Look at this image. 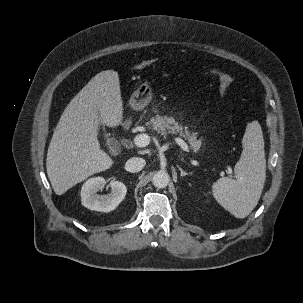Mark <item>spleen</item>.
I'll return each mask as SVG.
<instances>
[{
	"label": "spleen",
	"instance_id": "obj_1",
	"mask_svg": "<svg viewBox=\"0 0 303 303\" xmlns=\"http://www.w3.org/2000/svg\"><path fill=\"white\" fill-rule=\"evenodd\" d=\"M242 146L234 168L237 179L223 177L212 185L214 198L236 218L247 217L256 207L266 179L264 139L258 121L248 123Z\"/></svg>",
	"mask_w": 303,
	"mask_h": 303
}]
</instances>
